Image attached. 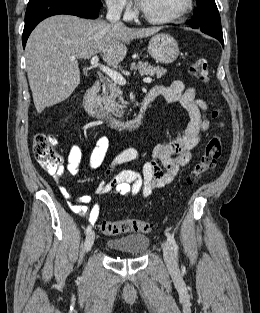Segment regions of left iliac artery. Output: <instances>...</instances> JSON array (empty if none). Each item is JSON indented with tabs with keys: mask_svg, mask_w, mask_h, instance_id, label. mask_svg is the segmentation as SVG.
I'll use <instances>...</instances> for the list:
<instances>
[{
	"mask_svg": "<svg viewBox=\"0 0 260 313\" xmlns=\"http://www.w3.org/2000/svg\"><path fill=\"white\" fill-rule=\"evenodd\" d=\"M166 236H167V238H168V241L170 242V244L172 245V248H173V250H174V255H175V258L177 259V256H178V245L176 244V241H175V239H174V237L170 234V233H168V232H166Z\"/></svg>",
	"mask_w": 260,
	"mask_h": 313,
	"instance_id": "44dca946",
	"label": "left iliac artery"
}]
</instances>
